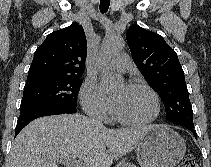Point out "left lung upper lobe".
<instances>
[{"label": "left lung upper lobe", "instance_id": "obj_1", "mask_svg": "<svg viewBox=\"0 0 211 167\" xmlns=\"http://www.w3.org/2000/svg\"><path fill=\"white\" fill-rule=\"evenodd\" d=\"M126 39L136 66L160 95L166 119L178 125H193L192 105L176 52L161 35L138 25L128 29Z\"/></svg>", "mask_w": 211, "mask_h": 167}]
</instances>
